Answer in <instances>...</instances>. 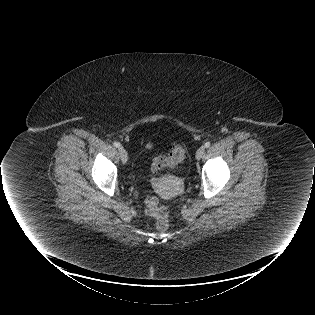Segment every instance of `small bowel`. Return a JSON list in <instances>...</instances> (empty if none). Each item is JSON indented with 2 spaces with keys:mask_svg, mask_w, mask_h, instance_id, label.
Returning <instances> with one entry per match:
<instances>
[{
  "mask_svg": "<svg viewBox=\"0 0 315 315\" xmlns=\"http://www.w3.org/2000/svg\"><path fill=\"white\" fill-rule=\"evenodd\" d=\"M153 146H154V144L149 142V143H147L146 148L151 149V148H153Z\"/></svg>",
  "mask_w": 315,
  "mask_h": 315,
  "instance_id": "1",
  "label": "small bowel"
}]
</instances>
